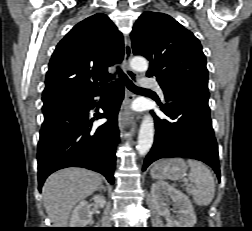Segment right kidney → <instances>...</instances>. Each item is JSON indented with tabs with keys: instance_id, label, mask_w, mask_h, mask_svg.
Listing matches in <instances>:
<instances>
[{
	"instance_id": "right-kidney-1",
	"label": "right kidney",
	"mask_w": 252,
	"mask_h": 231,
	"mask_svg": "<svg viewBox=\"0 0 252 231\" xmlns=\"http://www.w3.org/2000/svg\"><path fill=\"white\" fill-rule=\"evenodd\" d=\"M95 204L103 208L106 204L105 197L102 195H95L93 197ZM92 223V212L90 205L86 201H81L73 210L70 225L72 228H86Z\"/></svg>"
}]
</instances>
